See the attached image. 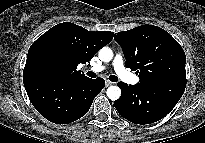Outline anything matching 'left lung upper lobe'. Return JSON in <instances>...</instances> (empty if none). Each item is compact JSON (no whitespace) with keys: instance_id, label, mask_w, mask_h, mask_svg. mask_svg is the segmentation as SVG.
Masks as SVG:
<instances>
[{"instance_id":"1","label":"left lung upper lobe","mask_w":205,"mask_h":143,"mask_svg":"<svg viewBox=\"0 0 205 143\" xmlns=\"http://www.w3.org/2000/svg\"><path fill=\"white\" fill-rule=\"evenodd\" d=\"M115 41L122 47L126 67L139 74L140 82L185 79L186 56L180 44L165 30L142 25L117 33Z\"/></svg>"}]
</instances>
